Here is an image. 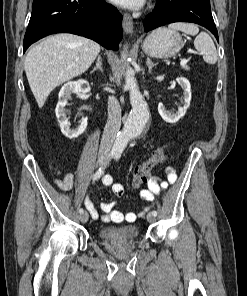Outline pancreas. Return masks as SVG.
I'll list each match as a JSON object with an SVG mask.
<instances>
[{
	"label": "pancreas",
	"instance_id": "obj_1",
	"mask_svg": "<svg viewBox=\"0 0 247 296\" xmlns=\"http://www.w3.org/2000/svg\"><path fill=\"white\" fill-rule=\"evenodd\" d=\"M182 68H183L184 70H186V71H189V70H190L189 66H187V65L182 66Z\"/></svg>",
	"mask_w": 247,
	"mask_h": 296
}]
</instances>
